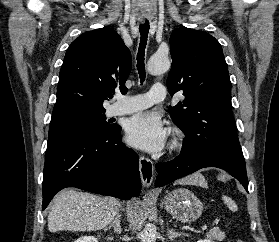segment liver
<instances>
[{
  "label": "liver",
  "instance_id": "6515ba94",
  "mask_svg": "<svg viewBox=\"0 0 279 242\" xmlns=\"http://www.w3.org/2000/svg\"><path fill=\"white\" fill-rule=\"evenodd\" d=\"M180 184L207 187L201 174H194L179 181ZM121 208L118 199L101 197L74 189H65L53 199L48 214V229L57 231H95L110 224Z\"/></svg>",
  "mask_w": 279,
  "mask_h": 242
}]
</instances>
